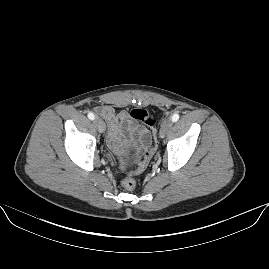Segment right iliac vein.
Wrapping results in <instances>:
<instances>
[{"label":"right iliac vein","instance_id":"63e3f726","mask_svg":"<svg viewBox=\"0 0 269 269\" xmlns=\"http://www.w3.org/2000/svg\"><path fill=\"white\" fill-rule=\"evenodd\" d=\"M94 123L100 133H103L105 131V123L100 118H95Z\"/></svg>","mask_w":269,"mask_h":269}]
</instances>
